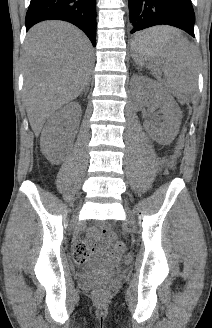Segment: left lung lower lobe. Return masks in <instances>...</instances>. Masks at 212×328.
<instances>
[{
  "label": "left lung lower lobe",
  "mask_w": 212,
  "mask_h": 328,
  "mask_svg": "<svg viewBox=\"0 0 212 328\" xmlns=\"http://www.w3.org/2000/svg\"><path fill=\"white\" fill-rule=\"evenodd\" d=\"M131 34L155 25H171L194 35L195 14L191 0H128ZM141 43L134 38L136 49Z\"/></svg>",
  "instance_id": "left-lung-lower-lobe-1"
}]
</instances>
